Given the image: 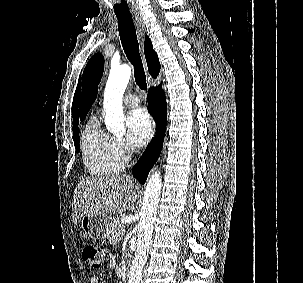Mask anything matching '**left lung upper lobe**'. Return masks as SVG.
<instances>
[{"label": "left lung upper lobe", "instance_id": "obj_1", "mask_svg": "<svg viewBox=\"0 0 303 283\" xmlns=\"http://www.w3.org/2000/svg\"><path fill=\"white\" fill-rule=\"evenodd\" d=\"M104 70V57L100 53L91 57L84 70V83L80 104V118L84 120L96 99L98 85Z\"/></svg>", "mask_w": 303, "mask_h": 283}]
</instances>
